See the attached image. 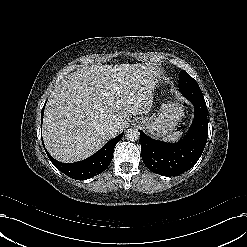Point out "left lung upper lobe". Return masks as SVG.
Masks as SVG:
<instances>
[{
    "label": "left lung upper lobe",
    "mask_w": 247,
    "mask_h": 247,
    "mask_svg": "<svg viewBox=\"0 0 247 247\" xmlns=\"http://www.w3.org/2000/svg\"><path fill=\"white\" fill-rule=\"evenodd\" d=\"M178 85L179 87H188L192 85H197V82L187 72L181 70Z\"/></svg>",
    "instance_id": "1"
}]
</instances>
